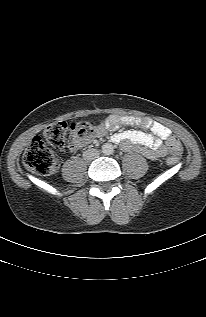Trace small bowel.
Masks as SVG:
<instances>
[{
  "instance_id": "1",
  "label": "small bowel",
  "mask_w": 206,
  "mask_h": 317,
  "mask_svg": "<svg viewBox=\"0 0 206 317\" xmlns=\"http://www.w3.org/2000/svg\"><path fill=\"white\" fill-rule=\"evenodd\" d=\"M121 125H135L150 130L146 133L140 130H127L116 133L112 141L120 144L124 150H131L136 145V151L150 160H157L167 155V147L163 143L171 137V130L165 125L148 117L110 115L97 128V136H102L106 130H116ZM87 141L72 142V149H78Z\"/></svg>"
}]
</instances>
